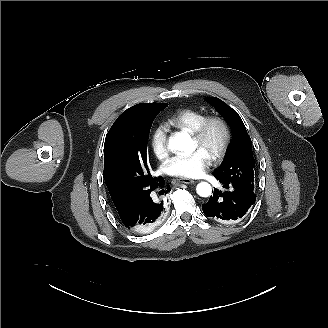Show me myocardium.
<instances>
[{
  "label": "myocardium",
  "mask_w": 328,
  "mask_h": 328,
  "mask_svg": "<svg viewBox=\"0 0 328 328\" xmlns=\"http://www.w3.org/2000/svg\"><path fill=\"white\" fill-rule=\"evenodd\" d=\"M214 124H217L222 128L224 137H223L220 148L213 155H211L210 158L214 162H220L227 155V153L230 149L232 137H233L232 128H231L229 122L224 117H222L220 115L206 116L199 123V125L196 127V129L193 132H191V138L198 145H202L206 139L209 128Z\"/></svg>",
  "instance_id": "myocardium-1"
}]
</instances>
